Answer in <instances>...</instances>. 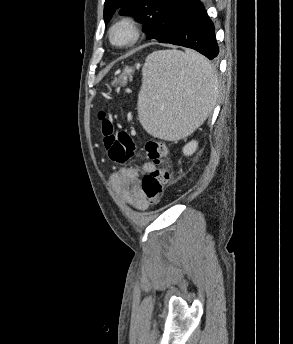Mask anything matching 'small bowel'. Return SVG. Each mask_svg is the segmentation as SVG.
Masks as SVG:
<instances>
[{
	"label": "small bowel",
	"mask_w": 293,
	"mask_h": 344,
	"mask_svg": "<svg viewBox=\"0 0 293 344\" xmlns=\"http://www.w3.org/2000/svg\"><path fill=\"white\" fill-rule=\"evenodd\" d=\"M154 168V164L144 162L140 166L127 167L116 173V177L121 186L123 200L137 210L143 211L148 205L147 199L141 191L140 174L149 173Z\"/></svg>",
	"instance_id": "c3829d8e"
}]
</instances>
